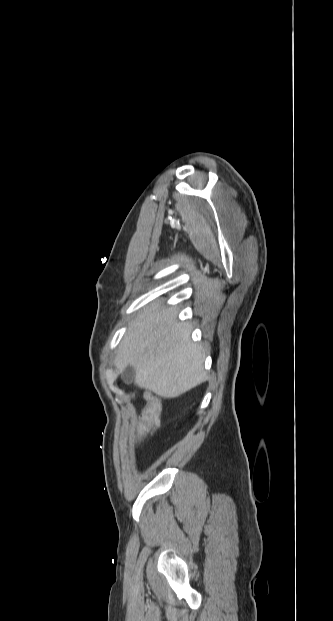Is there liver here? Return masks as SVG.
I'll list each match as a JSON object with an SVG mask.
<instances>
[{"mask_svg": "<svg viewBox=\"0 0 333 621\" xmlns=\"http://www.w3.org/2000/svg\"><path fill=\"white\" fill-rule=\"evenodd\" d=\"M190 334L189 324L178 322L175 307L153 302L130 322L115 366H132L137 386L176 398L206 379V350L193 343Z\"/></svg>", "mask_w": 333, "mask_h": 621, "instance_id": "1", "label": "liver"}]
</instances>
